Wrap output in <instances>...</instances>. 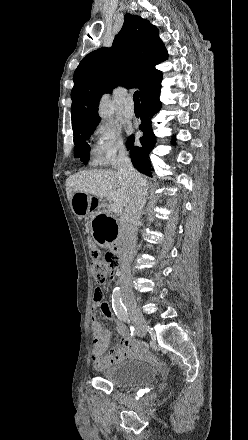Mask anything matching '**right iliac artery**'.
<instances>
[{
    "mask_svg": "<svg viewBox=\"0 0 248 440\" xmlns=\"http://www.w3.org/2000/svg\"><path fill=\"white\" fill-rule=\"evenodd\" d=\"M112 307L115 312V314L118 316V318L124 322L130 323L129 315L127 312V308L122 302L121 298V292L120 288L116 287L113 290L112 293ZM134 330L133 327H131V331Z\"/></svg>",
    "mask_w": 248,
    "mask_h": 440,
    "instance_id": "obj_1",
    "label": "right iliac artery"
}]
</instances>
